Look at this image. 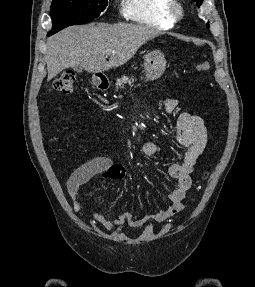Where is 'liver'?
Returning a JSON list of instances; mask_svg holds the SVG:
<instances>
[{"instance_id": "liver-1", "label": "liver", "mask_w": 255, "mask_h": 287, "mask_svg": "<svg viewBox=\"0 0 255 287\" xmlns=\"http://www.w3.org/2000/svg\"><path fill=\"white\" fill-rule=\"evenodd\" d=\"M162 32L138 24H87L71 26L48 38L44 50L50 82L65 68L81 64L86 72L119 68L135 56L138 48ZM114 52V54H112ZM106 56H110L109 62Z\"/></svg>"}]
</instances>
